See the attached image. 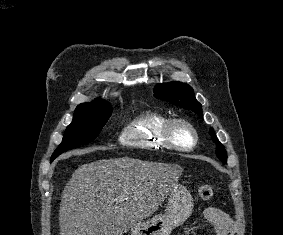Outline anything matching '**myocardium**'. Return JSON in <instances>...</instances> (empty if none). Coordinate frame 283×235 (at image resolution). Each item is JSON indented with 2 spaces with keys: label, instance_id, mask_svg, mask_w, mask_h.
I'll list each match as a JSON object with an SVG mask.
<instances>
[{
  "label": "myocardium",
  "instance_id": "obj_1",
  "mask_svg": "<svg viewBox=\"0 0 283 235\" xmlns=\"http://www.w3.org/2000/svg\"><path fill=\"white\" fill-rule=\"evenodd\" d=\"M178 127L185 128L192 136V142L190 145H180L175 140V130ZM163 135L168 146L178 151H191L198 143V133L194 125L184 118H171L166 124Z\"/></svg>",
  "mask_w": 283,
  "mask_h": 235
}]
</instances>
